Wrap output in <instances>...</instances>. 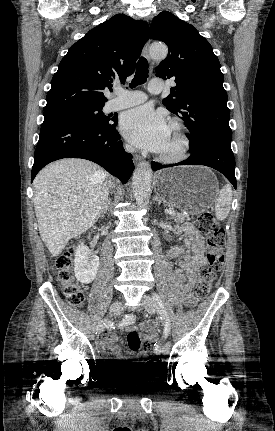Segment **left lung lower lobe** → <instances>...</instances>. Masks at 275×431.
<instances>
[{
  "instance_id": "left-lung-lower-lobe-1",
  "label": "left lung lower lobe",
  "mask_w": 275,
  "mask_h": 431,
  "mask_svg": "<svg viewBox=\"0 0 275 431\" xmlns=\"http://www.w3.org/2000/svg\"><path fill=\"white\" fill-rule=\"evenodd\" d=\"M190 157L182 162L170 165H161L153 162L152 169L177 165H205L221 172L236 189L235 159L229 141H205L193 145Z\"/></svg>"
}]
</instances>
